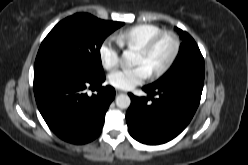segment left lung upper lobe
<instances>
[{
	"label": "left lung upper lobe",
	"instance_id": "5c2ea615",
	"mask_svg": "<svg viewBox=\"0 0 248 165\" xmlns=\"http://www.w3.org/2000/svg\"><path fill=\"white\" fill-rule=\"evenodd\" d=\"M175 30L182 39L178 58L161 78L148 86L156 87L171 82L182 83L190 79L204 80V59L196 42L187 32L177 27Z\"/></svg>",
	"mask_w": 248,
	"mask_h": 165
}]
</instances>
